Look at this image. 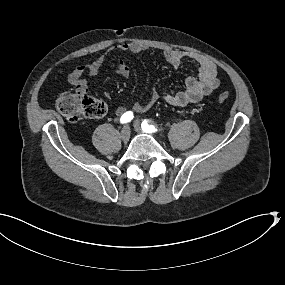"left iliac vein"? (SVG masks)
<instances>
[{"label":"left iliac vein","mask_w":285,"mask_h":285,"mask_svg":"<svg viewBox=\"0 0 285 285\" xmlns=\"http://www.w3.org/2000/svg\"><path fill=\"white\" fill-rule=\"evenodd\" d=\"M133 125H134L135 130H136L138 133H145V132L142 130L141 126H140V121H139V120H135Z\"/></svg>","instance_id":"4c4485c4"}]
</instances>
